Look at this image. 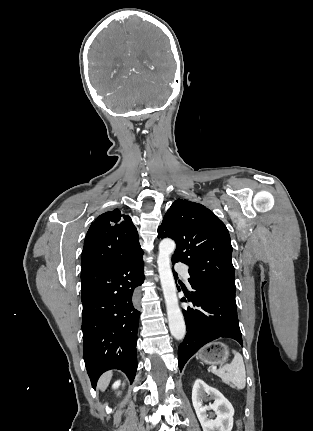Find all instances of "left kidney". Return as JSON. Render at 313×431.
<instances>
[{
	"label": "left kidney",
	"instance_id": "1",
	"mask_svg": "<svg viewBox=\"0 0 313 431\" xmlns=\"http://www.w3.org/2000/svg\"><path fill=\"white\" fill-rule=\"evenodd\" d=\"M210 395L213 404L203 406L202 400ZM192 403L203 431H231L233 427L234 408L232 404L215 388L197 379L192 389ZM208 410H214L216 418H209Z\"/></svg>",
	"mask_w": 313,
	"mask_h": 431
}]
</instances>
